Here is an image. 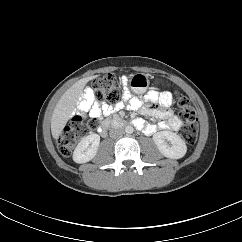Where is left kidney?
I'll return each instance as SVG.
<instances>
[{
    "mask_svg": "<svg viewBox=\"0 0 242 242\" xmlns=\"http://www.w3.org/2000/svg\"><path fill=\"white\" fill-rule=\"evenodd\" d=\"M157 148L167 158L180 159L187 152L184 140L174 132L160 131L153 135Z\"/></svg>",
    "mask_w": 242,
    "mask_h": 242,
    "instance_id": "obj_1",
    "label": "left kidney"
}]
</instances>
